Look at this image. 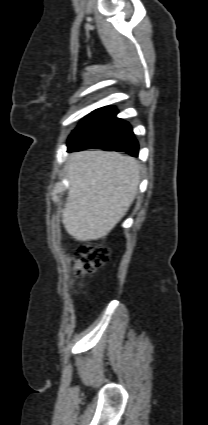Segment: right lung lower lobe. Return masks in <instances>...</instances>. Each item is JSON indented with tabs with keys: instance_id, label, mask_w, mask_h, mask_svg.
I'll return each mask as SVG.
<instances>
[{
	"instance_id": "1",
	"label": "right lung lower lobe",
	"mask_w": 208,
	"mask_h": 425,
	"mask_svg": "<svg viewBox=\"0 0 208 425\" xmlns=\"http://www.w3.org/2000/svg\"><path fill=\"white\" fill-rule=\"evenodd\" d=\"M114 107H103L86 116L68 139V152L88 148L127 152L138 156V142L128 122L116 117Z\"/></svg>"
}]
</instances>
